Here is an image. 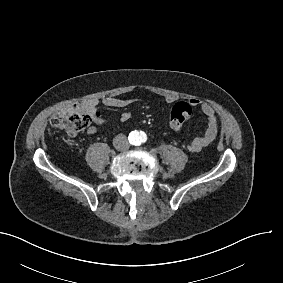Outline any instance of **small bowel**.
<instances>
[{
    "mask_svg": "<svg viewBox=\"0 0 283 283\" xmlns=\"http://www.w3.org/2000/svg\"><path fill=\"white\" fill-rule=\"evenodd\" d=\"M174 101V98L171 96L165 98V102L168 104H171ZM136 102L137 100L132 98H117L111 96L104 97L101 100H99L98 98H88L81 103V109L92 117L96 125H101L105 123V119L97 111V107L99 104H103L104 106L110 108H126ZM180 103L188 104L190 107H200L203 113L204 131L201 135L192 139L187 145V149L190 152L198 153L202 151L205 147H207L209 144H211L218 134V121L216 114L214 112V109L209 104L203 103L197 98H192L188 101L179 102L177 104ZM130 118L131 114L129 112H123L120 116L121 122H127ZM97 132L98 129L96 126H91L87 130V133L90 135L96 134Z\"/></svg>",
    "mask_w": 283,
    "mask_h": 283,
    "instance_id": "1",
    "label": "small bowel"
}]
</instances>
